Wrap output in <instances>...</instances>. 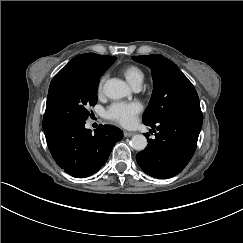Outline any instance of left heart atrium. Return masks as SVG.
<instances>
[{"label":"left heart atrium","mask_w":243,"mask_h":243,"mask_svg":"<svg viewBox=\"0 0 243 243\" xmlns=\"http://www.w3.org/2000/svg\"><path fill=\"white\" fill-rule=\"evenodd\" d=\"M141 111L142 104L139 101L114 102L106 108L104 116L109 120L127 125L132 123Z\"/></svg>","instance_id":"39dd6f15"}]
</instances>
